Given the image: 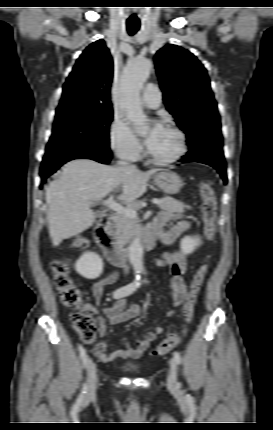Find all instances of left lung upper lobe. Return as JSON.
Here are the masks:
<instances>
[{
  "instance_id": "obj_1",
  "label": "left lung upper lobe",
  "mask_w": 273,
  "mask_h": 430,
  "mask_svg": "<svg viewBox=\"0 0 273 430\" xmlns=\"http://www.w3.org/2000/svg\"><path fill=\"white\" fill-rule=\"evenodd\" d=\"M156 71L167 110L194 142L203 131L221 135L220 116L207 71L189 51L166 45L155 55Z\"/></svg>"
}]
</instances>
